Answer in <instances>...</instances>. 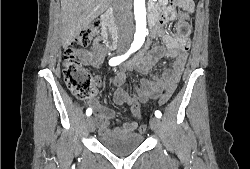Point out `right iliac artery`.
<instances>
[{"label": "right iliac artery", "mask_w": 250, "mask_h": 169, "mask_svg": "<svg viewBox=\"0 0 250 169\" xmlns=\"http://www.w3.org/2000/svg\"><path fill=\"white\" fill-rule=\"evenodd\" d=\"M135 51V49H130L126 54L122 55V56H117V57H113L109 60V65L111 66H116L118 64H120L122 61H124L125 59L128 58V56L133 53ZM92 114V109L88 108L86 110V115L90 116Z\"/></svg>", "instance_id": "82829eb1"}]
</instances>
